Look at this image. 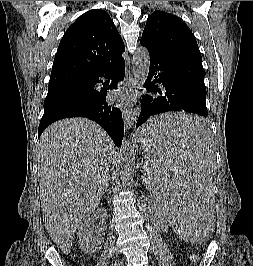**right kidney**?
<instances>
[{"label": "right kidney", "instance_id": "1", "mask_svg": "<svg viewBox=\"0 0 253 266\" xmlns=\"http://www.w3.org/2000/svg\"><path fill=\"white\" fill-rule=\"evenodd\" d=\"M94 219H86L79 227L77 231V239L80 248L86 253H94L101 248L104 242V233L93 235L94 232Z\"/></svg>", "mask_w": 253, "mask_h": 266}]
</instances>
